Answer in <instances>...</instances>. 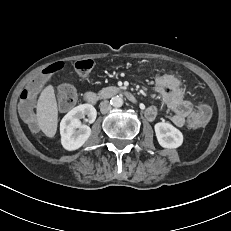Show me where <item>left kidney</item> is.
Returning a JSON list of instances; mask_svg holds the SVG:
<instances>
[{
	"mask_svg": "<svg viewBox=\"0 0 231 231\" xmlns=\"http://www.w3.org/2000/svg\"><path fill=\"white\" fill-rule=\"evenodd\" d=\"M158 143L163 148L175 149L182 145L183 134L173 125L159 122L154 126Z\"/></svg>",
	"mask_w": 231,
	"mask_h": 231,
	"instance_id": "left-kidney-1",
	"label": "left kidney"
}]
</instances>
